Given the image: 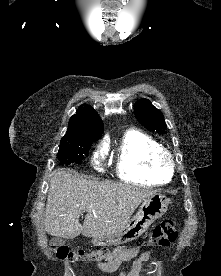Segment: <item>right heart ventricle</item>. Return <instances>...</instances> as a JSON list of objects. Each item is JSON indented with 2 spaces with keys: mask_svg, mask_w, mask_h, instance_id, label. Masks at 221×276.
<instances>
[{
  "mask_svg": "<svg viewBox=\"0 0 221 276\" xmlns=\"http://www.w3.org/2000/svg\"><path fill=\"white\" fill-rule=\"evenodd\" d=\"M161 145L146 133L128 130L122 137L117 151L118 177L129 183L156 185L168 182L172 172L159 168L155 154Z\"/></svg>",
  "mask_w": 221,
  "mask_h": 276,
  "instance_id": "obj_1",
  "label": "right heart ventricle"
}]
</instances>
